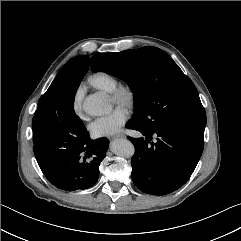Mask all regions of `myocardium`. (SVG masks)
<instances>
[{"mask_svg": "<svg viewBox=\"0 0 241 241\" xmlns=\"http://www.w3.org/2000/svg\"><path fill=\"white\" fill-rule=\"evenodd\" d=\"M110 96L115 104L125 107H131L135 101L134 89L128 84L118 85Z\"/></svg>", "mask_w": 241, "mask_h": 241, "instance_id": "1", "label": "myocardium"}]
</instances>
